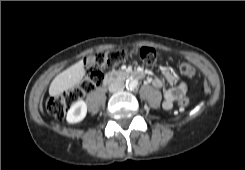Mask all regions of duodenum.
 I'll use <instances>...</instances> for the list:
<instances>
[{
	"label": "duodenum",
	"mask_w": 245,
	"mask_h": 170,
	"mask_svg": "<svg viewBox=\"0 0 245 170\" xmlns=\"http://www.w3.org/2000/svg\"><path fill=\"white\" fill-rule=\"evenodd\" d=\"M128 78H136L139 79L141 78V73L138 71H131V72H123V71H115V72H110L105 75L104 77V84L107 85L109 83L119 81L122 79H128Z\"/></svg>",
	"instance_id": "410a0bca"
}]
</instances>
